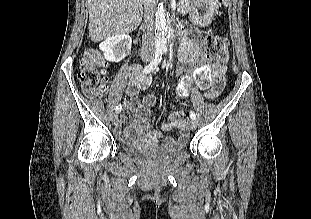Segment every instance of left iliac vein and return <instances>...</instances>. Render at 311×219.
I'll return each instance as SVG.
<instances>
[{
	"label": "left iliac vein",
	"mask_w": 311,
	"mask_h": 219,
	"mask_svg": "<svg viewBox=\"0 0 311 219\" xmlns=\"http://www.w3.org/2000/svg\"><path fill=\"white\" fill-rule=\"evenodd\" d=\"M188 127H189V129H190V130H192V131H193V130H195V129H196V127H197V123H196V121H195V120H193V119H192V120H190V121H189V123H188Z\"/></svg>",
	"instance_id": "1"
}]
</instances>
